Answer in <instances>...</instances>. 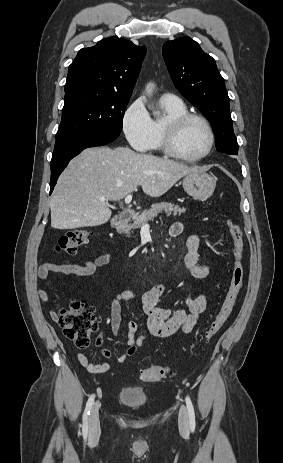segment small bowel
<instances>
[{
    "instance_id": "1",
    "label": "small bowel",
    "mask_w": 283,
    "mask_h": 463,
    "mask_svg": "<svg viewBox=\"0 0 283 463\" xmlns=\"http://www.w3.org/2000/svg\"><path fill=\"white\" fill-rule=\"evenodd\" d=\"M184 231L181 222H175L171 225L169 234L175 238L180 236ZM199 246L200 238L198 234H191L186 241L187 253L184 256L185 266L190 275L195 279H205L211 274V268L207 264H199ZM109 254L104 252L94 260L86 261L83 265L77 264H58L45 263L38 269V278L42 281L52 273H68L79 276H87L94 272L96 267L102 266L109 261ZM166 287L164 284H155L141 297H138L131 290H123L117 293L111 303L110 329L114 335H118L121 327V305L122 301H133L140 305L143 314L146 317L145 327L147 334L136 337L138 324L130 321L127 325V345L129 349L122 353L118 362H123L131 355L136 348L142 347L147 340L148 335L155 337H168L176 332L190 333L201 314L207 307V297L200 294L196 297H186L184 300L185 308L170 309L160 307L158 302L165 295ZM40 296L43 301L50 300L48 293L40 289ZM51 316L57 319V313L51 311ZM79 363L90 373L100 374L109 370L108 363H92L84 353L77 355Z\"/></svg>"
}]
</instances>
